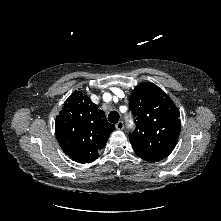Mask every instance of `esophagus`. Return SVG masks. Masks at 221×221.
I'll list each match as a JSON object with an SVG mask.
<instances>
[{
	"instance_id": "esophagus-1",
	"label": "esophagus",
	"mask_w": 221,
	"mask_h": 221,
	"mask_svg": "<svg viewBox=\"0 0 221 221\" xmlns=\"http://www.w3.org/2000/svg\"><path fill=\"white\" fill-rule=\"evenodd\" d=\"M116 129L118 130H123L124 129V123L122 121H119L117 124H116Z\"/></svg>"
}]
</instances>
